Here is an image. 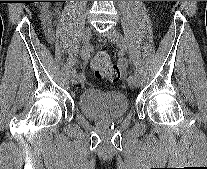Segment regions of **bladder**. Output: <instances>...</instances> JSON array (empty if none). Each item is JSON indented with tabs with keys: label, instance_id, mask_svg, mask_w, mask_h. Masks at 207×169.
<instances>
[{
	"label": "bladder",
	"instance_id": "obj_1",
	"mask_svg": "<svg viewBox=\"0 0 207 169\" xmlns=\"http://www.w3.org/2000/svg\"><path fill=\"white\" fill-rule=\"evenodd\" d=\"M80 111L94 120H115L123 117L129 107L127 97L118 91L84 89L78 98Z\"/></svg>",
	"mask_w": 207,
	"mask_h": 169
}]
</instances>
